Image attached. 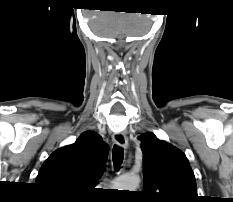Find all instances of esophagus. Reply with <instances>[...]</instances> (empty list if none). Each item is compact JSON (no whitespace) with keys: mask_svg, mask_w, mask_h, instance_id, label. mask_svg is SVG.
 I'll return each mask as SVG.
<instances>
[{"mask_svg":"<svg viewBox=\"0 0 233 202\" xmlns=\"http://www.w3.org/2000/svg\"><path fill=\"white\" fill-rule=\"evenodd\" d=\"M113 141L121 146V147H127L128 146V140H127V137L125 136L124 133H115L113 135Z\"/></svg>","mask_w":233,"mask_h":202,"instance_id":"34e87169","label":"esophagus"}]
</instances>
